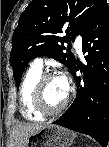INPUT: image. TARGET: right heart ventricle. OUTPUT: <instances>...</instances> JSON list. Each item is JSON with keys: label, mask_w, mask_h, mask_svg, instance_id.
Listing matches in <instances>:
<instances>
[{"label": "right heart ventricle", "mask_w": 109, "mask_h": 147, "mask_svg": "<svg viewBox=\"0 0 109 147\" xmlns=\"http://www.w3.org/2000/svg\"><path fill=\"white\" fill-rule=\"evenodd\" d=\"M41 75L42 70L31 67L25 74L20 87V112L25 119L32 122H38L44 118V115L35 111L31 105L32 93Z\"/></svg>", "instance_id": "1"}]
</instances>
